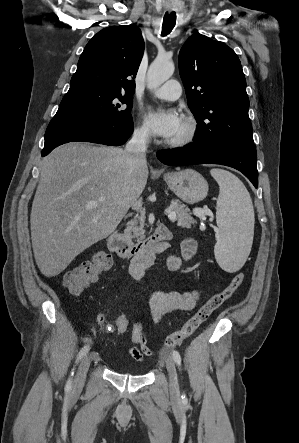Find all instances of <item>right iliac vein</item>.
Here are the masks:
<instances>
[{
    "instance_id": "1",
    "label": "right iliac vein",
    "mask_w": 299,
    "mask_h": 443,
    "mask_svg": "<svg viewBox=\"0 0 299 443\" xmlns=\"http://www.w3.org/2000/svg\"><path fill=\"white\" fill-rule=\"evenodd\" d=\"M91 360H92L91 355H86L82 359V361L78 367L75 379H74V388L75 389L79 390L83 387Z\"/></svg>"
}]
</instances>
